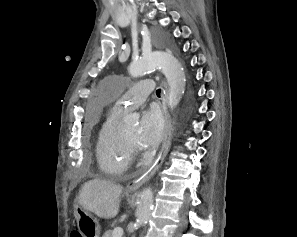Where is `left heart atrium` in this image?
<instances>
[{"instance_id": "1", "label": "left heart atrium", "mask_w": 297, "mask_h": 237, "mask_svg": "<svg viewBox=\"0 0 297 237\" xmlns=\"http://www.w3.org/2000/svg\"><path fill=\"white\" fill-rule=\"evenodd\" d=\"M164 134V120L157 108L151 107L142 112L138 128V146L152 149L159 145Z\"/></svg>"}]
</instances>
